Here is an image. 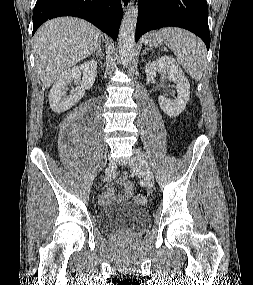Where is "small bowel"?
<instances>
[{
  "label": "small bowel",
  "mask_w": 253,
  "mask_h": 285,
  "mask_svg": "<svg viewBox=\"0 0 253 285\" xmlns=\"http://www.w3.org/2000/svg\"><path fill=\"white\" fill-rule=\"evenodd\" d=\"M118 184L123 188V194L116 197L112 188L106 189L101 196V202L105 205L114 203L127 202L133 195V185L127 180L125 175H122L118 179Z\"/></svg>",
  "instance_id": "obj_1"
}]
</instances>
